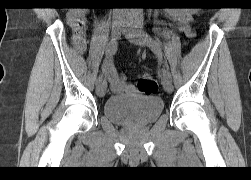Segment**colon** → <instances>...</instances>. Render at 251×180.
<instances>
[{
	"instance_id": "1",
	"label": "colon",
	"mask_w": 251,
	"mask_h": 180,
	"mask_svg": "<svg viewBox=\"0 0 251 180\" xmlns=\"http://www.w3.org/2000/svg\"><path fill=\"white\" fill-rule=\"evenodd\" d=\"M138 90L146 95L155 94L158 90L156 79L150 74H144L138 79Z\"/></svg>"
}]
</instances>
